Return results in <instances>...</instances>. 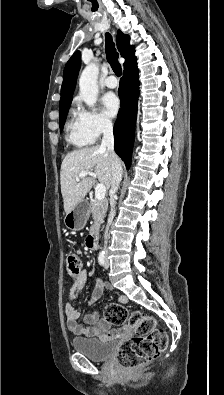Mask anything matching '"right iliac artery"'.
<instances>
[{
	"instance_id": "obj_1",
	"label": "right iliac artery",
	"mask_w": 224,
	"mask_h": 395,
	"mask_svg": "<svg viewBox=\"0 0 224 395\" xmlns=\"http://www.w3.org/2000/svg\"><path fill=\"white\" fill-rule=\"evenodd\" d=\"M98 262L100 265H102V266L104 265V263H105V252L104 251L99 253Z\"/></svg>"
}]
</instances>
